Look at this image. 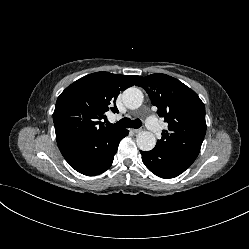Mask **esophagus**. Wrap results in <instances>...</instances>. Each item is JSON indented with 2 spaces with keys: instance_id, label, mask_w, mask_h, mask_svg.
Wrapping results in <instances>:
<instances>
[{
  "instance_id": "34e87169",
  "label": "esophagus",
  "mask_w": 249,
  "mask_h": 249,
  "mask_svg": "<svg viewBox=\"0 0 249 249\" xmlns=\"http://www.w3.org/2000/svg\"><path fill=\"white\" fill-rule=\"evenodd\" d=\"M143 130H144V128L132 129V131H133L134 133H140V132H142Z\"/></svg>"
}]
</instances>
